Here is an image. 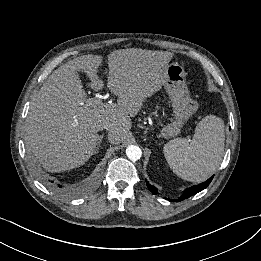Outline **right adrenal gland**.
I'll use <instances>...</instances> for the list:
<instances>
[{"label":"right adrenal gland","instance_id":"right-adrenal-gland-1","mask_svg":"<svg viewBox=\"0 0 261 261\" xmlns=\"http://www.w3.org/2000/svg\"><path fill=\"white\" fill-rule=\"evenodd\" d=\"M102 139H103V135H100L99 138H98V143H97V147L95 148L94 154L98 153V151L101 147Z\"/></svg>","mask_w":261,"mask_h":261}]
</instances>
